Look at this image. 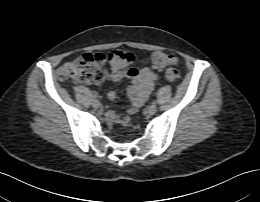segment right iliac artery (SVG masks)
<instances>
[{"label": "right iliac artery", "mask_w": 260, "mask_h": 202, "mask_svg": "<svg viewBox=\"0 0 260 202\" xmlns=\"http://www.w3.org/2000/svg\"><path fill=\"white\" fill-rule=\"evenodd\" d=\"M93 98H94V99H97V98H98V96H97L96 94H94V95H93Z\"/></svg>", "instance_id": "right-iliac-artery-1"}]
</instances>
